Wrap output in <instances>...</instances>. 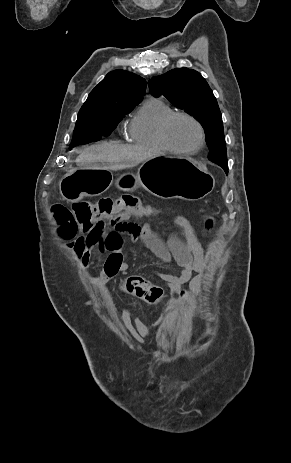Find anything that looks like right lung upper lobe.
Returning a JSON list of instances; mask_svg holds the SVG:
<instances>
[{"label": "right lung upper lobe", "instance_id": "1", "mask_svg": "<svg viewBox=\"0 0 291 463\" xmlns=\"http://www.w3.org/2000/svg\"><path fill=\"white\" fill-rule=\"evenodd\" d=\"M146 81L124 70H114L90 92L80 110L98 108L104 105H137L145 92Z\"/></svg>", "mask_w": 291, "mask_h": 463}]
</instances>
